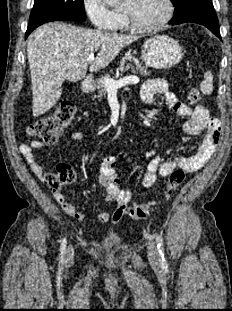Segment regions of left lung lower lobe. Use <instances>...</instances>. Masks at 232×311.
<instances>
[{"label":"left lung lower lobe","mask_w":232,"mask_h":311,"mask_svg":"<svg viewBox=\"0 0 232 311\" xmlns=\"http://www.w3.org/2000/svg\"><path fill=\"white\" fill-rule=\"evenodd\" d=\"M193 22L204 25L221 39L218 19L211 0H190L177 11L169 24Z\"/></svg>","instance_id":"obj_1"}]
</instances>
